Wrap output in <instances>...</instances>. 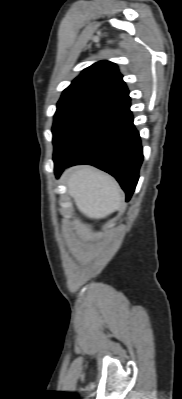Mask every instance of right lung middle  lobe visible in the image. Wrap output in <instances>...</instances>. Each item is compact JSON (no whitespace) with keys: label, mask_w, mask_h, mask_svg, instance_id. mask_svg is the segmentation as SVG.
I'll use <instances>...</instances> for the list:
<instances>
[{"label":"right lung middle lobe","mask_w":182,"mask_h":399,"mask_svg":"<svg viewBox=\"0 0 182 399\" xmlns=\"http://www.w3.org/2000/svg\"><path fill=\"white\" fill-rule=\"evenodd\" d=\"M107 103L87 96L61 97L57 104L52 128L53 144L56 146L63 137L81 120L101 109Z\"/></svg>","instance_id":"obj_1"}]
</instances>
